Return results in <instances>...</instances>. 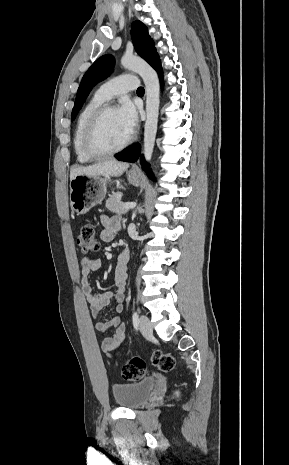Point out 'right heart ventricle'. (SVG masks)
Instances as JSON below:
<instances>
[{
    "label": "right heart ventricle",
    "mask_w": 289,
    "mask_h": 465,
    "mask_svg": "<svg viewBox=\"0 0 289 465\" xmlns=\"http://www.w3.org/2000/svg\"><path fill=\"white\" fill-rule=\"evenodd\" d=\"M103 102L104 100L95 94L93 98L84 106L77 118L73 134V148L77 160L81 163H88L95 159V157H92L86 153L83 146V135L88 119L92 113L103 104Z\"/></svg>",
    "instance_id": "e07e8e85"
}]
</instances>
